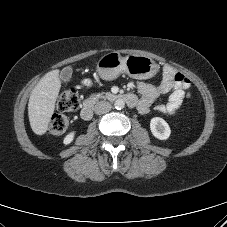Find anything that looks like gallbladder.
Masks as SVG:
<instances>
[{
	"label": "gallbladder",
	"instance_id": "obj_1",
	"mask_svg": "<svg viewBox=\"0 0 227 227\" xmlns=\"http://www.w3.org/2000/svg\"><path fill=\"white\" fill-rule=\"evenodd\" d=\"M71 76H72V69L70 67H65L64 69H62V71L60 73V79L63 82L69 81Z\"/></svg>",
	"mask_w": 227,
	"mask_h": 227
}]
</instances>
